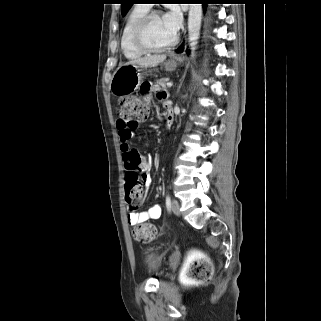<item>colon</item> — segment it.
Masks as SVG:
<instances>
[{
  "label": "colon",
  "mask_w": 321,
  "mask_h": 321,
  "mask_svg": "<svg viewBox=\"0 0 321 321\" xmlns=\"http://www.w3.org/2000/svg\"><path fill=\"white\" fill-rule=\"evenodd\" d=\"M149 114V107L144 103L143 97L129 96L119 101L118 117L126 125L136 128L139 123L145 121ZM147 166L145 159L134 152L129 156L126 169L125 195L127 208L135 212L142 200L143 186L139 179V173ZM135 239L142 243L153 241L157 237V228L152 224H143L133 230ZM213 273L210 259L200 251H193L187 269V276L196 282L208 281Z\"/></svg>",
  "instance_id": "colon-1"
}]
</instances>
